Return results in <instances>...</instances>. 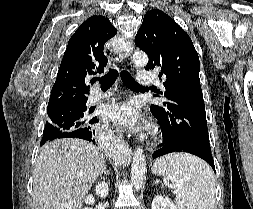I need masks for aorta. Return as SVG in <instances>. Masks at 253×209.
Wrapping results in <instances>:
<instances>
[{
  "label": "aorta",
  "mask_w": 253,
  "mask_h": 209,
  "mask_svg": "<svg viewBox=\"0 0 253 209\" xmlns=\"http://www.w3.org/2000/svg\"><path fill=\"white\" fill-rule=\"evenodd\" d=\"M133 62L136 66L143 67L148 63V56L142 52H136L133 55ZM146 171V160L143 150L137 148L134 152L131 165V183L136 190L141 189Z\"/></svg>",
  "instance_id": "762f6f07"
}]
</instances>
